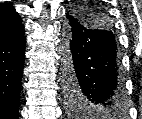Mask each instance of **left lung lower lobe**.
<instances>
[{
  "label": "left lung lower lobe",
  "instance_id": "0a47b994",
  "mask_svg": "<svg viewBox=\"0 0 142 119\" xmlns=\"http://www.w3.org/2000/svg\"><path fill=\"white\" fill-rule=\"evenodd\" d=\"M66 17L69 24L63 69L69 106L78 113H87L90 107L103 117L122 116L124 107L121 102H115L114 98L108 101L117 86L113 32L87 28L68 13ZM73 64L79 84L74 76Z\"/></svg>",
  "mask_w": 142,
  "mask_h": 119
}]
</instances>
